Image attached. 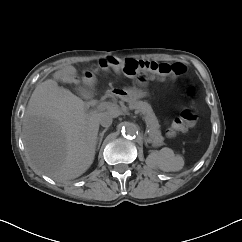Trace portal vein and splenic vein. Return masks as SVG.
<instances>
[{
	"label": "portal vein and splenic vein",
	"mask_w": 242,
	"mask_h": 242,
	"mask_svg": "<svg viewBox=\"0 0 242 242\" xmlns=\"http://www.w3.org/2000/svg\"><path fill=\"white\" fill-rule=\"evenodd\" d=\"M97 109L100 110V111H103L105 109L116 110V106L113 103H110V102H102L97 106Z\"/></svg>",
	"instance_id": "18ae733b"
}]
</instances>
